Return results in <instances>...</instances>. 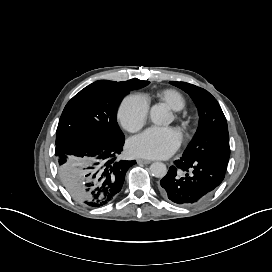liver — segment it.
Listing matches in <instances>:
<instances>
[{
	"mask_svg": "<svg viewBox=\"0 0 272 272\" xmlns=\"http://www.w3.org/2000/svg\"><path fill=\"white\" fill-rule=\"evenodd\" d=\"M79 165L78 163L77 164H73V171L76 173V175H78L79 177H82L84 176L85 174V171L86 170H83V169H80V168H76L75 166ZM81 167H85L86 164H80Z\"/></svg>",
	"mask_w": 272,
	"mask_h": 272,
	"instance_id": "6515ba94",
	"label": "liver"
}]
</instances>
